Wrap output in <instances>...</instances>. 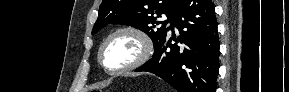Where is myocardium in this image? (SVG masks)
<instances>
[{
    "mask_svg": "<svg viewBox=\"0 0 289 92\" xmlns=\"http://www.w3.org/2000/svg\"><path fill=\"white\" fill-rule=\"evenodd\" d=\"M121 34H127L132 37H134L138 44H139V54L136 57L134 61H132L130 64L118 68V69H109L103 61V53L105 50V47L107 44L116 36ZM154 52V44L151 39V37L141 28L132 26V25H126L121 26L115 30H113L111 33H109L105 39L102 41L99 50H98V62L102 69L111 75H117L126 73L132 70H135L145 64L153 55Z\"/></svg>",
    "mask_w": 289,
    "mask_h": 92,
    "instance_id": "obj_1",
    "label": "myocardium"
}]
</instances>
